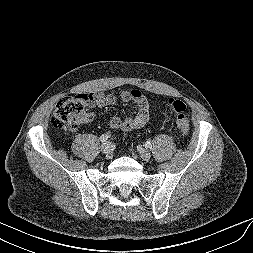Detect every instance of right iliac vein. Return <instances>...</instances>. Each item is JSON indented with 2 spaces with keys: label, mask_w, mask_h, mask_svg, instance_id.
<instances>
[{
  "label": "right iliac vein",
  "mask_w": 253,
  "mask_h": 253,
  "mask_svg": "<svg viewBox=\"0 0 253 253\" xmlns=\"http://www.w3.org/2000/svg\"><path fill=\"white\" fill-rule=\"evenodd\" d=\"M101 151L107 156L110 157L111 156V144L109 142L103 143L101 145Z\"/></svg>",
  "instance_id": "obj_1"
}]
</instances>
